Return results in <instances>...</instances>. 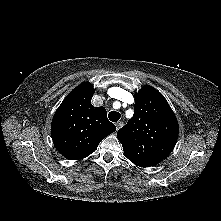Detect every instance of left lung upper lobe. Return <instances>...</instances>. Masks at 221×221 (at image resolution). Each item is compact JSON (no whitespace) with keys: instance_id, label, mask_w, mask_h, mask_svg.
<instances>
[{"instance_id":"1","label":"left lung upper lobe","mask_w":221,"mask_h":221,"mask_svg":"<svg viewBox=\"0 0 221 221\" xmlns=\"http://www.w3.org/2000/svg\"><path fill=\"white\" fill-rule=\"evenodd\" d=\"M179 126L162 94L151 86L135 93L134 115L117 132L125 156L140 167L161 162L173 150Z\"/></svg>"}]
</instances>
